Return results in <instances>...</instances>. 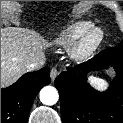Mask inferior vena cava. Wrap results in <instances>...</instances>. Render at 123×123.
Masks as SVG:
<instances>
[{"instance_id": "1", "label": "inferior vena cava", "mask_w": 123, "mask_h": 123, "mask_svg": "<svg viewBox=\"0 0 123 123\" xmlns=\"http://www.w3.org/2000/svg\"><path fill=\"white\" fill-rule=\"evenodd\" d=\"M44 63H45V57L41 56L38 59L28 63L26 65V69L29 70V71H31V70H39L40 68L43 67Z\"/></svg>"}]
</instances>
